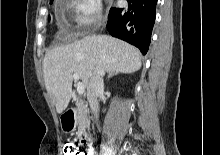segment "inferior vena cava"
I'll use <instances>...</instances> for the list:
<instances>
[{
    "label": "inferior vena cava",
    "instance_id": "obj_1",
    "mask_svg": "<svg viewBox=\"0 0 220 155\" xmlns=\"http://www.w3.org/2000/svg\"><path fill=\"white\" fill-rule=\"evenodd\" d=\"M104 74V68L101 66L97 67L93 73V76L90 79L87 88V99L89 101L90 108L96 118L99 111V102L97 98L104 91Z\"/></svg>",
    "mask_w": 220,
    "mask_h": 155
}]
</instances>
